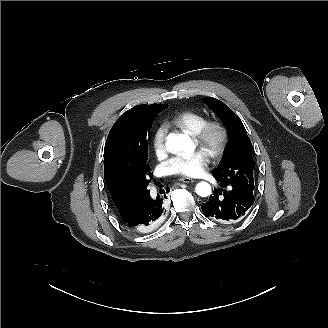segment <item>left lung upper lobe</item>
<instances>
[{"label":"left lung upper lobe","instance_id":"left-lung-upper-lobe-1","mask_svg":"<svg viewBox=\"0 0 328 328\" xmlns=\"http://www.w3.org/2000/svg\"><path fill=\"white\" fill-rule=\"evenodd\" d=\"M203 101L222 119L230 134L219 167L213 170L214 177L226 185H238L253 192L255 161L252 158V144L242 121L218 99L207 97Z\"/></svg>","mask_w":328,"mask_h":328}]
</instances>
